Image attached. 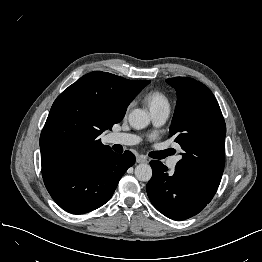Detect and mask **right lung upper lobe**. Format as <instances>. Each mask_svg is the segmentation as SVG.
Here are the masks:
<instances>
[{
    "label": "right lung upper lobe",
    "mask_w": 262,
    "mask_h": 262,
    "mask_svg": "<svg viewBox=\"0 0 262 262\" xmlns=\"http://www.w3.org/2000/svg\"><path fill=\"white\" fill-rule=\"evenodd\" d=\"M148 80L91 72L54 101L40 136L41 159L98 155L111 150L99 136L119 123Z\"/></svg>",
    "instance_id": "right-lung-upper-lobe-1"
}]
</instances>
